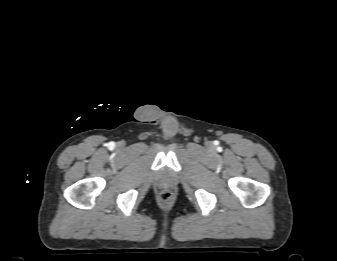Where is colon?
I'll list each match as a JSON object with an SVG mask.
<instances>
[{
  "label": "colon",
  "mask_w": 337,
  "mask_h": 261,
  "mask_svg": "<svg viewBox=\"0 0 337 261\" xmlns=\"http://www.w3.org/2000/svg\"><path fill=\"white\" fill-rule=\"evenodd\" d=\"M160 200L163 203H168L172 200V193L168 190H164L160 193Z\"/></svg>",
  "instance_id": "obj_1"
}]
</instances>
